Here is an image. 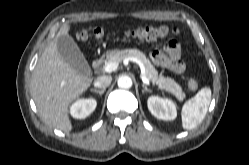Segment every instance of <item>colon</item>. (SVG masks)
Listing matches in <instances>:
<instances>
[{"label":"colon","mask_w":249,"mask_h":165,"mask_svg":"<svg viewBox=\"0 0 249 165\" xmlns=\"http://www.w3.org/2000/svg\"><path fill=\"white\" fill-rule=\"evenodd\" d=\"M178 29L173 28L170 29L167 26H147L142 27L134 30H129L125 33L126 37L129 39H136V40H154L157 38H163L170 34H177ZM105 35L103 30H95L92 33H88L86 31H82L78 34V38L82 41L89 39L90 37L94 38H102ZM188 86L192 91H195L198 88V83L195 78H190L188 81Z\"/></svg>","instance_id":"1"}]
</instances>
